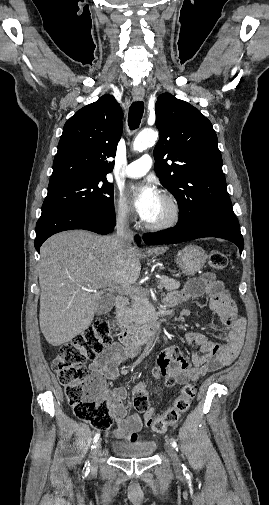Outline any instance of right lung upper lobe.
I'll use <instances>...</instances> for the list:
<instances>
[{"label": "right lung upper lobe", "instance_id": "cb5924a9", "mask_svg": "<svg viewBox=\"0 0 269 505\" xmlns=\"http://www.w3.org/2000/svg\"><path fill=\"white\" fill-rule=\"evenodd\" d=\"M120 105L111 95L78 110L64 125L48 188L107 179L123 123Z\"/></svg>", "mask_w": 269, "mask_h": 505}]
</instances>
